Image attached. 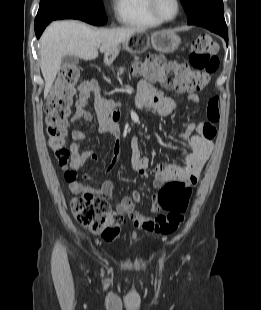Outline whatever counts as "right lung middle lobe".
<instances>
[{"instance_id": "dd1d6c3e", "label": "right lung middle lobe", "mask_w": 261, "mask_h": 310, "mask_svg": "<svg viewBox=\"0 0 261 310\" xmlns=\"http://www.w3.org/2000/svg\"><path fill=\"white\" fill-rule=\"evenodd\" d=\"M103 0H40L35 27L56 19L72 18L93 25H104L107 17Z\"/></svg>"}]
</instances>
